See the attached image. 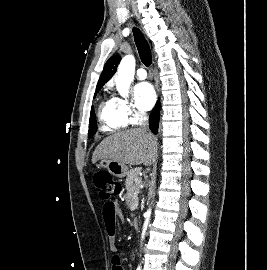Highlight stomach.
<instances>
[{
  "instance_id": "stomach-1",
  "label": "stomach",
  "mask_w": 267,
  "mask_h": 270,
  "mask_svg": "<svg viewBox=\"0 0 267 270\" xmlns=\"http://www.w3.org/2000/svg\"><path fill=\"white\" fill-rule=\"evenodd\" d=\"M98 167L108 170L110 174L118 178H123L128 173V168L125 164L111 159H101Z\"/></svg>"
}]
</instances>
